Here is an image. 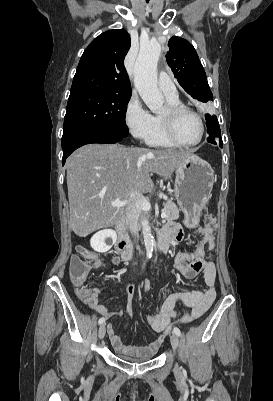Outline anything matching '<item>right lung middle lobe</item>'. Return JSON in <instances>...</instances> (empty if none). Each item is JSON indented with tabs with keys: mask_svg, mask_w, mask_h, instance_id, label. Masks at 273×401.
I'll use <instances>...</instances> for the list:
<instances>
[{
	"mask_svg": "<svg viewBox=\"0 0 273 401\" xmlns=\"http://www.w3.org/2000/svg\"><path fill=\"white\" fill-rule=\"evenodd\" d=\"M131 95L83 93L69 96L64 119V132L73 128H91L128 136L125 123Z\"/></svg>",
	"mask_w": 273,
	"mask_h": 401,
	"instance_id": "obj_1",
	"label": "right lung middle lobe"
}]
</instances>
